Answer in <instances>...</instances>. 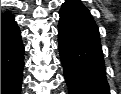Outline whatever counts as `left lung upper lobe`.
<instances>
[{
  "mask_svg": "<svg viewBox=\"0 0 121 94\" xmlns=\"http://www.w3.org/2000/svg\"><path fill=\"white\" fill-rule=\"evenodd\" d=\"M64 5L81 14L91 16L89 10L82 4V2L80 0H67V1H65Z\"/></svg>",
  "mask_w": 121,
  "mask_h": 94,
  "instance_id": "1",
  "label": "left lung upper lobe"
}]
</instances>
